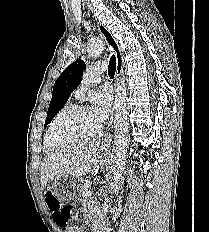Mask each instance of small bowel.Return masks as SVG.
<instances>
[{"mask_svg":"<svg viewBox=\"0 0 209 232\" xmlns=\"http://www.w3.org/2000/svg\"><path fill=\"white\" fill-rule=\"evenodd\" d=\"M87 215L94 220V222H98L99 214L97 210L94 207H90ZM64 232H82V230L79 227H66L64 228Z\"/></svg>","mask_w":209,"mask_h":232,"instance_id":"1","label":"small bowel"}]
</instances>
